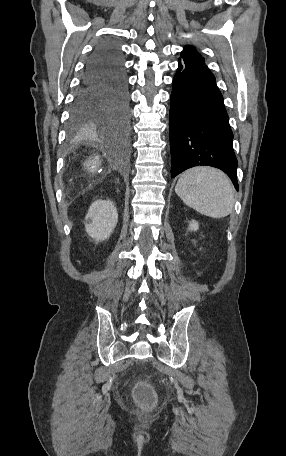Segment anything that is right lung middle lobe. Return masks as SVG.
<instances>
[{
	"mask_svg": "<svg viewBox=\"0 0 286 456\" xmlns=\"http://www.w3.org/2000/svg\"><path fill=\"white\" fill-rule=\"evenodd\" d=\"M93 129L100 130V131H106L104 128H102V127H100V126H98V125L93 126V127H91V128H88V129H86L85 131H89V130H93ZM126 129H127V126H126V125H123V124H119V125L115 126V130H116L118 133H120V134H122ZM85 131H84V132H85ZM129 134H130V129H129V131H128L127 136H126V137H122V139H123L124 142H127V141H128V139H129Z\"/></svg>",
	"mask_w": 286,
	"mask_h": 456,
	"instance_id": "obj_1",
	"label": "right lung middle lobe"
}]
</instances>
